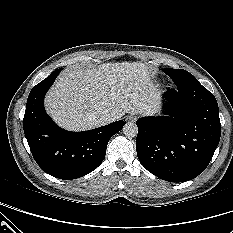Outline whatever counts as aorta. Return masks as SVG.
Here are the masks:
<instances>
[{
	"mask_svg": "<svg viewBox=\"0 0 233 233\" xmlns=\"http://www.w3.org/2000/svg\"><path fill=\"white\" fill-rule=\"evenodd\" d=\"M123 133L126 137H135L138 134V127L135 123L128 122L123 126Z\"/></svg>",
	"mask_w": 233,
	"mask_h": 233,
	"instance_id": "obj_1",
	"label": "aorta"
}]
</instances>
